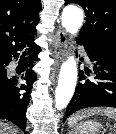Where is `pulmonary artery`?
<instances>
[{"label": "pulmonary artery", "mask_w": 116, "mask_h": 134, "mask_svg": "<svg viewBox=\"0 0 116 134\" xmlns=\"http://www.w3.org/2000/svg\"><path fill=\"white\" fill-rule=\"evenodd\" d=\"M82 54H83L85 60L89 61V56L84 50H82ZM14 66H15V62L13 61V62H11L10 67L13 68Z\"/></svg>", "instance_id": "pulmonary-artery-1"}]
</instances>
